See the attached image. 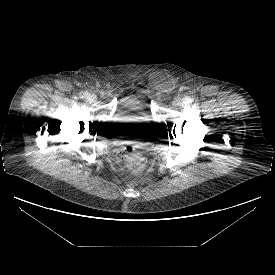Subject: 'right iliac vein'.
Listing matches in <instances>:
<instances>
[{
  "mask_svg": "<svg viewBox=\"0 0 275 275\" xmlns=\"http://www.w3.org/2000/svg\"><path fill=\"white\" fill-rule=\"evenodd\" d=\"M89 99L93 101V100L96 99V97H95L94 95H90V96H89Z\"/></svg>",
  "mask_w": 275,
  "mask_h": 275,
  "instance_id": "obj_1",
  "label": "right iliac vein"
}]
</instances>
